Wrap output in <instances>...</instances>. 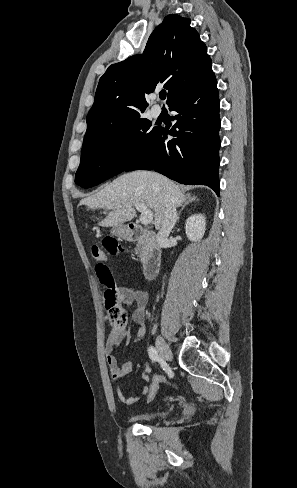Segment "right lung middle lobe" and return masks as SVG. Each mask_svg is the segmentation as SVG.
<instances>
[{
	"label": "right lung middle lobe",
	"instance_id": "right-lung-middle-lobe-1",
	"mask_svg": "<svg viewBox=\"0 0 297 488\" xmlns=\"http://www.w3.org/2000/svg\"><path fill=\"white\" fill-rule=\"evenodd\" d=\"M150 126L147 119L138 118L102 135L84 138L75 183L89 188L125 171L158 133L159 128L151 130Z\"/></svg>",
	"mask_w": 297,
	"mask_h": 488
}]
</instances>
